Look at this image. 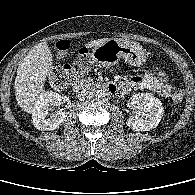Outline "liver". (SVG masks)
Instances as JSON below:
<instances>
[{
	"mask_svg": "<svg viewBox=\"0 0 195 195\" xmlns=\"http://www.w3.org/2000/svg\"><path fill=\"white\" fill-rule=\"evenodd\" d=\"M109 38L90 41L87 48H95L105 43ZM53 56L47 43H38L19 63L14 82L16 101L26 113H32L40 93L44 89V82L51 72Z\"/></svg>",
	"mask_w": 195,
	"mask_h": 195,
	"instance_id": "liver-1",
	"label": "liver"
}]
</instances>
